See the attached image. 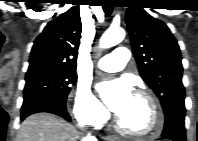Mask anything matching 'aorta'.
<instances>
[{
  "mask_svg": "<svg viewBox=\"0 0 198 141\" xmlns=\"http://www.w3.org/2000/svg\"><path fill=\"white\" fill-rule=\"evenodd\" d=\"M125 38V31L121 27L109 28L100 38L99 45L101 48H110L117 45Z\"/></svg>",
  "mask_w": 198,
  "mask_h": 141,
  "instance_id": "1",
  "label": "aorta"
}]
</instances>
